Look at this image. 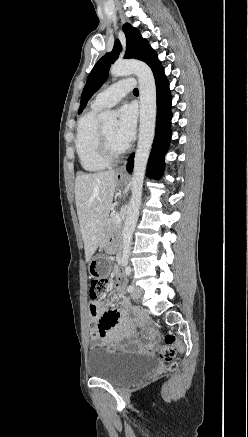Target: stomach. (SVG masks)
Returning <instances> with one entry per match:
<instances>
[{"label": "stomach", "mask_w": 248, "mask_h": 437, "mask_svg": "<svg viewBox=\"0 0 248 437\" xmlns=\"http://www.w3.org/2000/svg\"><path fill=\"white\" fill-rule=\"evenodd\" d=\"M116 180L119 184L124 182V178L116 177ZM111 269L112 264L111 262H108V259L102 250H99L96 253V257L91 260L88 267L92 279H107L108 271H111Z\"/></svg>", "instance_id": "stomach-1"}]
</instances>
